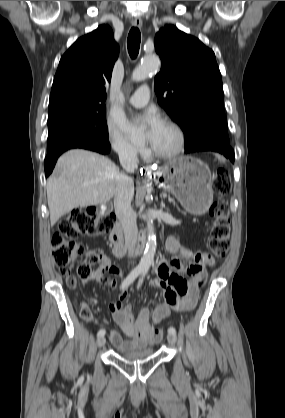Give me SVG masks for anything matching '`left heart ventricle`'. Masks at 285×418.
Instances as JSON below:
<instances>
[{
  "label": "left heart ventricle",
  "instance_id": "1",
  "mask_svg": "<svg viewBox=\"0 0 285 418\" xmlns=\"http://www.w3.org/2000/svg\"><path fill=\"white\" fill-rule=\"evenodd\" d=\"M176 143L177 136L175 132L165 126L153 143V148L158 151L169 152L175 148Z\"/></svg>",
  "mask_w": 285,
  "mask_h": 418
}]
</instances>
